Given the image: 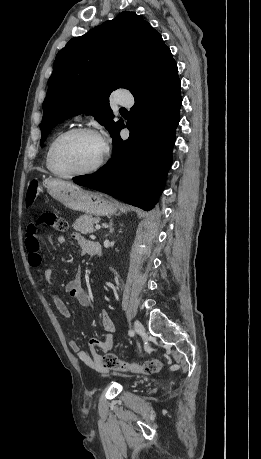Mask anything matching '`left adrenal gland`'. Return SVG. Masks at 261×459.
I'll return each instance as SVG.
<instances>
[{"instance_id":"1","label":"left adrenal gland","mask_w":261,"mask_h":459,"mask_svg":"<svg viewBox=\"0 0 261 459\" xmlns=\"http://www.w3.org/2000/svg\"><path fill=\"white\" fill-rule=\"evenodd\" d=\"M113 232H114L113 220H110V223H109V233L112 234Z\"/></svg>"}]
</instances>
